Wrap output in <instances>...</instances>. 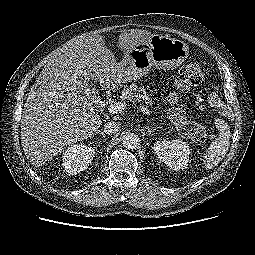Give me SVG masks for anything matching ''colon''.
I'll use <instances>...</instances> for the list:
<instances>
[{"label":"colon","mask_w":255,"mask_h":255,"mask_svg":"<svg viewBox=\"0 0 255 255\" xmlns=\"http://www.w3.org/2000/svg\"><path fill=\"white\" fill-rule=\"evenodd\" d=\"M202 80L203 72L199 61L194 60L182 67L175 81V91L171 96L172 108L170 110V118L179 133L198 143L206 140V129L187 117L186 111L181 105V95L189 87L198 85ZM208 103L211 106H217L220 104V97L216 93H211L208 97Z\"/></svg>","instance_id":"obj_1"}]
</instances>
